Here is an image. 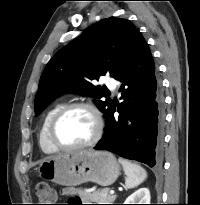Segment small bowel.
Masks as SVG:
<instances>
[{
  "mask_svg": "<svg viewBox=\"0 0 200 205\" xmlns=\"http://www.w3.org/2000/svg\"><path fill=\"white\" fill-rule=\"evenodd\" d=\"M61 193L63 195H68V196H73V195H76V191L73 189V188H64L62 189ZM77 197L74 198V202L77 201ZM72 205H75V204H72Z\"/></svg>",
  "mask_w": 200,
  "mask_h": 205,
  "instance_id": "1",
  "label": "small bowel"
}]
</instances>
